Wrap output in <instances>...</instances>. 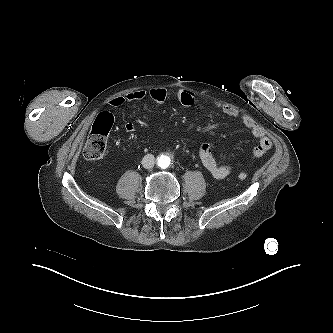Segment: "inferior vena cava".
Returning a JSON list of instances; mask_svg holds the SVG:
<instances>
[{"label":"inferior vena cava","mask_w":333,"mask_h":333,"mask_svg":"<svg viewBox=\"0 0 333 333\" xmlns=\"http://www.w3.org/2000/svg\"><path fill=\"white\" fill-rule=\"evenodd\" d=\"M155 164V157L152 154H147L142 159V166L145 169H151L154 167Z\"/></svg>","instance_id":"1"}]
</instances>
